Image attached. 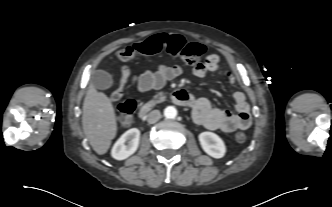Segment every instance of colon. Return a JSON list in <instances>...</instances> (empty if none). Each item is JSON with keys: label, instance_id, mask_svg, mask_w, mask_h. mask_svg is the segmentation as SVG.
Wrapping results in <instances>:
<instances>
[{"label": "colon", "instance_id": "colon-1", "mask_svg": "<svg viewBox=\"0 0 332 207\" xmlns=\"http://www.w3.org/2000/svg\"><path fill=\"white\" fill-rule=\"evenodd\" d=\"M162 50L168 54L178 57L189 65H196L204 53L201 44L195 42H187L185 38L178 34H157L147 40L122 48L117 52V58L121 61H127L138 56L154 55ZM128 71L127 69L124 72ZM123 72V73H124ZM123 87L116 89L112 95V101H120L123 99ZM136 110V103L133 99L127 98L120 104L119 125L122 128H128L132 123L133 114ZM234 139L238 143H243L246 136L242 132L234 135Z\"/></svg>", "mask_w": 332, "mask_h": 207}]
</instances>
